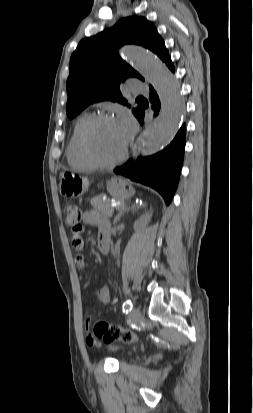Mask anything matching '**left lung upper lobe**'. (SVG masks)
I'll return each instance as SVG.
<instances>
[{
    "mask_svg": "<svg viewBox=\"0 0 253 413\" xmlns=\"http://www.w3.org/2000/svg\"><path fill=\"white\" fill-rule=\"evenodd\" d=\"M124 44H137L150 49L165 62L169 56L164 41L154 25L144 17L120 19L112 28L80 41L70 59L66 88V113L74 118L86 106L102 100L124 105L120 83L129 77L144 78L120 58L117 49ZM141 107L132 109L135 116Z\"/></svg>",
    "mask_w": 253,
    "mask_h": 413,
    "instance_id": "5c2ea615",
    "label": "left lung upper lobe"
}]
</instances>
